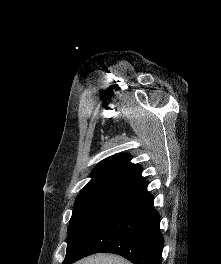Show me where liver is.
I'll use <instances>...</instances> for the list:
<instances>
[{
    "label": "liver",
    "instance_id": "liver-1",
    "mask_svg": "<svg viewBox=\"0 0 221 264\" xmlns=\"http://www.w3.org/2000/svg\"><path fill=\"white\" fill-rule=\"evenodd\" d=\"M76 264H132L123 257L111 254H97L78 261Z\"/></svg>",
    "mask_w": 221,
    "mask_h": 264
}]
</instances>
